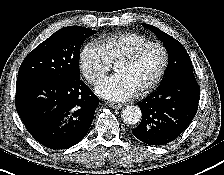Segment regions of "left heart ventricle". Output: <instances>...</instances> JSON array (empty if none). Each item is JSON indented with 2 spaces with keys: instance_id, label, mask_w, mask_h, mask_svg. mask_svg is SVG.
Masks as SVG:
<instances>
[{
  "instance_id": "left-heart-ventricle-1",
  "label": "left heart ventricle",
  "mask_w": 224,
  "mask_h": 175,
  "mask_svg": "<svg viewBox=\"0 0 224 175\" xmlns=\"http://www.w3.org/2000/svg\"><path fill=\"white\" fill-rule=\"evenodd\" d=\"M162 53L157 47L147 49L134 63L115 66V73L125 77L136 89L153 80L160 69Z\"/></svg>"
}]
</instances>
